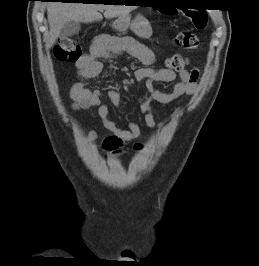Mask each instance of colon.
Returning <instances> with one entry per match:
<instances>
[{
    "label": "colon",
    "mask_w": 259,
    "mask_h": 266,
    "mask_svg": "<svg viewBox=\"0 0 259 266\" xmlns=\"http://www.w3.org/2000/svg\"><path fill=\"white\" fill-rule=\"evenodd\" d=\"M184 14L197 30L206 28L207 15L204 12L186 11ZM175 43L182 49L194 50L199 46V38L191 31H182L176 36ZM54 55L58 60L77 62L82 56V51L74 39L63 37L55 46ZM165 64L169 70L181 71L188 64V61L180 55H173L166 59ZM136 147L139 148L140 146L137 145Z\"/></svg>",
    "instance_id": "1"
}]
</instances>
